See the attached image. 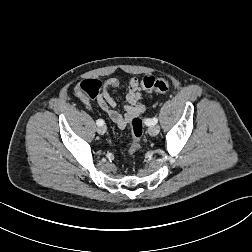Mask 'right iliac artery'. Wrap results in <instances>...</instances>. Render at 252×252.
<instances>
[{"instance_id": "obj_1", "label": "right iliac artery", "mask_w": 252, "mask_h": 252, "mask_svg": "<svg viewBox=\"0 0 252 252\" xmlns=\"http://www.w3.org/2000/svg\"><path fill=\"white\" fill-rule=\"evenodd\" d=\"M96 124H97L98 126H101V125L104 124V121H103L102 119H98V120L96 121Z\"/></svg>"}]
</instances>
